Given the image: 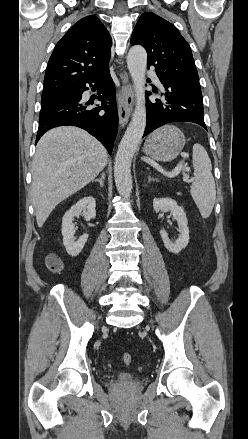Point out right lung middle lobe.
I'll use <instances>...</instances> for the list:
<instances>
[{
  "label": "right lung middle lobe",
  "mask_w": 248,
  "mask_h": 439,
  "mask_svg": "<svg viewBox=\"0 0 248 439\" xmlns=\"http://www.w3.org/2000/svg\"><path fill=\"white\" fill-rule=\"evenodd\" d=\"M47 99H49V98H42V100H41V101H44V100H47Z\"/></svg>",
  "instance_id": "1"
}]
</instances>
